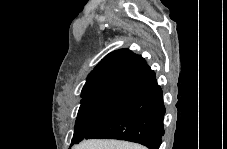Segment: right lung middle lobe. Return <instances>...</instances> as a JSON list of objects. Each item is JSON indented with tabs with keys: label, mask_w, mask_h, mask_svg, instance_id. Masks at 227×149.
Returning <instances> with one entry per match:
<instances>
[{
	"label": "right lung middle lobe",
	"mask_w": 227,
	"mask_h": 149,
	"mask_svg": "<svg viewBox=\"0 0 227 149\" xmlns=\"http://www.w3.org/2000/svg\"><path fill=\"white\" fill-rule=\"evenodd\" d=\"M137 89L122 85L100 88L82 97L71 145L78 144L109 121L134 95Z\"/></svg>",
	"instance_id": "obj_1"
}]
</instances>
